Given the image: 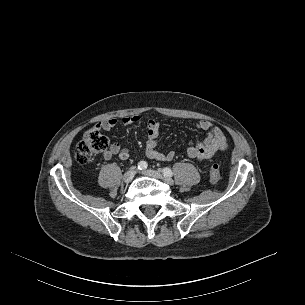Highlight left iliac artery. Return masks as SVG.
I'll return each mask as SVG.
<instances>
[{"label": "left iliac artery", "instance_id": "left-iliac-artery-1", "mask_svg": "<svg viewBox=\"0 0 305 305\" xmlns=\"http://www.w3.org/2000/svg\"><path fill=\"white\" fill-rule=\"evenodd\" d=\"M163 174H164V176H166V177H171V176L173 175V172H172V170L169 169V168H164V169H163Z\"/></svg>", "mask_w": 305, "mask_h": 305}]
</instances>
